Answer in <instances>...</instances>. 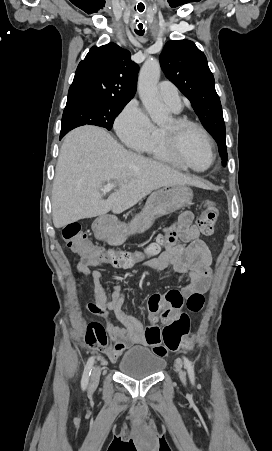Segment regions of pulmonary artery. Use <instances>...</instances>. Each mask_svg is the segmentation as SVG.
<instances>
[{"instance_id": "1", "label": "pulmonary artery", "mask_w": 272, "mask_h": 451, "mask_svg": "<svg viewBox=\"0 0 272 451\" xmlns=\"http://www.w3.org/2000/svg\"><path fill=\"white\" fill-rule=\"evenodd\" d=\"M158 90L161 99L167 102L174 111H179L181 109V97L174 84L160 82Z\"/></svg>"}]
</instances>
